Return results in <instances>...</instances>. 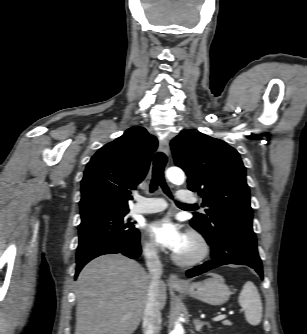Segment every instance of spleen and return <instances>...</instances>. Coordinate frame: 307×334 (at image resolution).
Listing matches in <instances>:
<instances>
[{
    "mask_svg": "<svg viewBox=\"0 0 307 334\" xmlns=\"http://www.w3.org/2000/svg\"><path fill=\"white\" fill-rule=\"evenodd\" d=\"M238 302L245 310V318L251 325H258L262 318V302L257 287L253 282L244 284Z\"/></svg>",
    "mask_w": 307,
    "mask_h": 334,
    "instance_id": "1",
    "label": "spleen"
}]
</instances>
